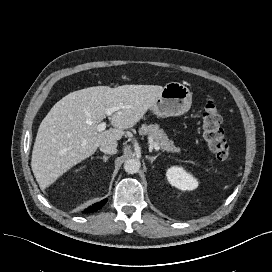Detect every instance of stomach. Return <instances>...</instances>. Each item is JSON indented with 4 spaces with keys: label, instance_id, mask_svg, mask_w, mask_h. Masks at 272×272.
I'll return each mask as SVG.
<instances>
[{
    "label": "stomach",
    "instance_id": "0dacf381",
    "mask_svg": "<svg viewBox=\"0 0 272 272\" xmlns=\"http://www.w3.org/2000/svg\"><path fill=\"white\" fill-rule=\"evenodd\" d=\"M192 93L187 86L179 82L167 83L151 110L159 117L180 116L191 107Z\"/></svg>",
    "mask_w": 272,
    "mask_h": 272
}]
</instances>
